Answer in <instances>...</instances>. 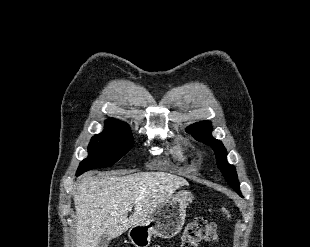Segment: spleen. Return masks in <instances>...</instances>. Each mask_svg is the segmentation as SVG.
I'll return each instance as SVG.
<instances>
[{
    "label": "spleen",
    "mask_w": 310,
    "mask_h": 247,
    "mask_svg": "<svg viewBox=\"0 0 310 247\" xmlns=\"http://www.w3.org/2000/svg\"><path fill=\"white\" fill-rule=\"evenodd\" d=\"M223 211L227 212V210L225 208L222 209ZM228 217H230L229 213L227 212Z\"/></svg>",
    "instance_id": "3e777b00"
}]
</instances>
